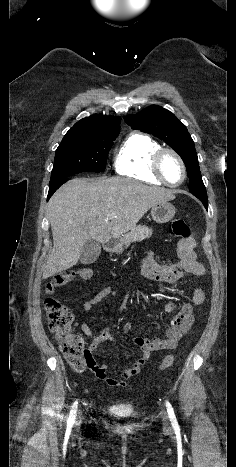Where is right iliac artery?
Wrapping results in <instances>:
<instances>
[{
    "instance_id": "82829eb1",
    "label": "right iliac artery",
    "mask_w": 236,
    "mask_h": 467,
    "mask_svg": "<svg viewBox=\"0 0 236 467\" xmlns=\"http://www.w3.org/2000/svg\"><path fill=\"white\" fill-rule=\"evenodd\" d=\"M77 407H78V401H75L72 405V408L70 410L69 418H68V424L73 425L75 421V417L77 414Z\"/></svg>"
}]
</instances>
